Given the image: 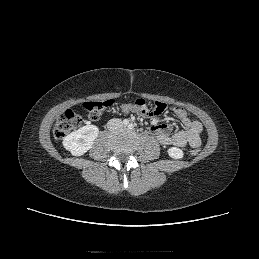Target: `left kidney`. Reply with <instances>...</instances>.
<instances>
[{
    "label": "left kidney",
    "mask_w": 259,
    "mask_h": 259,
    "mask_svg": "<svg viewBox=\"0 0 259 259\" xmlns=\"http://www.w3.org/2000/svg\"><path fill=\"white\" fill-rule=\"evenodd\" d=\"M168 155L173 159H181L184 153L180 148L171 147L168 149Z\"/></svg>",
    "instance_id": "obj_1"
}]
</instances>
